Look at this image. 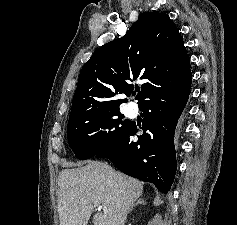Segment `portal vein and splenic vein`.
<instances>
[{"label":"portal vein and splenic vein","instance_id":"1","mask_svg":"<svg viewBox=\"0 0 237 225\" xmlns=\"http://www.w3.org/2000/svg\"><path fill=\"white\" fill-rule=\"evenodd\" d=\"M95 207H99L100 208V205H99V203L98 202H95V205H94Z\"/></svg>","mask_w":237,"mask_h":225}]
</instances>
